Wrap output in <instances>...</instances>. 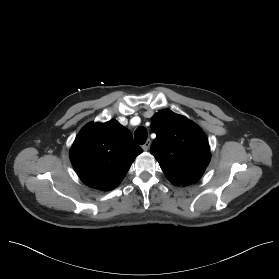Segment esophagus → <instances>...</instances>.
Segmentation results:
<instances>
[{
  "instance_id": "obj_1",
  "label": "esophagus",
  "mask_w": 279,
  "mask_h": 279,
  "mask_svg": "<svg viewBox=\"0 0 279 279\" xmlns=\"http://www.w3.org/2000/svg\"><path fill=\"white\" fill-rule=\"evenodd\" d=\"M150 145H151V140L148 139V140L145 142V144L142 145V149H143L144 151H147V150L149 149Z\"/></svg>"
}]
</instances>
